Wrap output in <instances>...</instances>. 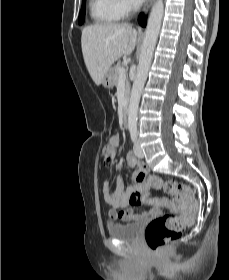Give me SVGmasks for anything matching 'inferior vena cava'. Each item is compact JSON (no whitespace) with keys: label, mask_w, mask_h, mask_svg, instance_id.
<instances>
[{"label":"inferior vena cava","mask_w":229,"mask_h":280,"mask_svg":"<svg viewBox=\"0 0 229 280\" xmlns=\"http://www.w3.org/2000/svg\"><path fill=\"white\" fill-rule=\"evenodd\" d=\"M138 6H139L138 3H136V4L134 5V8L137 9Z\"/></svg>","instance_id":"inferior-vena-cava-1"}]
</instances>
